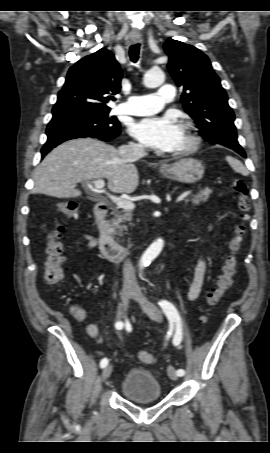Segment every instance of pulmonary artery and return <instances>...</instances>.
<instances>
[{
	"instance_id": "obj_1",
	"label": "pulmonary artery",
	"mask_w": 270,
	"mask_h": 453,
	"mask_svg": "<svg viewBox=\"0 0 270 453\" xmlns=\"http://www.w3.org/2000/svg\"><path fill=\"white\" fill-rule=\"evenodd\" d=\"M175 90L171 85H163L157 93L130 96L125 103L120 104L117 110L129 115H149L160 111L166 102L173 100Z\"/></svg>"
}]
</instances>
